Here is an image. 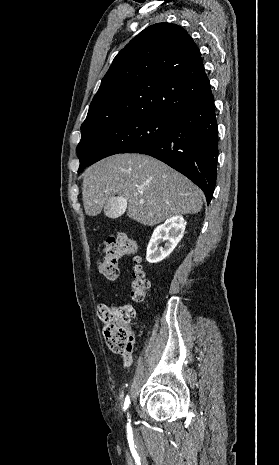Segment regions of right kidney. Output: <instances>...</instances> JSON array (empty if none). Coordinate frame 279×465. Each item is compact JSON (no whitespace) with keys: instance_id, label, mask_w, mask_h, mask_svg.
<instances>
[{"instance_id":"obj_1","label":"right kidney","mask_w":279,"mask_h":465,"mask_svg":"<svg viewBox=\"0 0 279 465\" xmlns=\"http://www.w3.org/2000/svg\"><path fill=\"white\" fill-rule=\"evenodd\" d=\"M186 221L182 216H173L157 226L147 246L146 259L149 263H158L174 250L184 235ZM164 247L158 245L165 242Z\"/></svg>"}]
</instances>
